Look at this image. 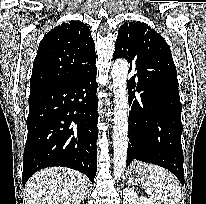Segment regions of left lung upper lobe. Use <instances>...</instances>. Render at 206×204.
Masks as SVG:
<instances>
[{"label": "left lung upper lobe", "instance_id": "5c2ea615", "mask_svg": "<svg viewBox=\"0 0 206 204\" xmlns=\"http://www.w3.org/2000/svg\"><path fill=\"white\" fill-rule=\"evenodd\" d=\"M113 58H126L131 67L144 66L148 73L147 84L163 80L178 84L176 67L169 45L147 24L124 23L118 30Z\"/></svg>", "mask_w": 206, "mask_h": 204}]
</instances>
